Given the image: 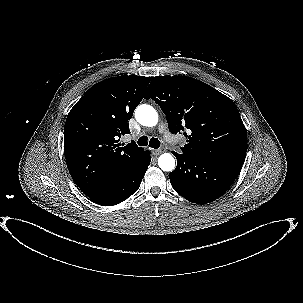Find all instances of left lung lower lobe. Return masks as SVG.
Returning <instances> with one entry per match:
<instances>
[{
	"label": "left lung lower lobe",
	"instance_id": "1",
	"mask_svg": "<svg viewBox=\"0 0 303 303\" xmlns=\"http://www.w3.org/2000/svg\"><path fill=\"white\" fill-rule=\"evenodd\" d=\"M176 169L169 174L174 190L192 203L206 204L222 196L238 176L241 162L202 159L172 152Z\"/></svg>",
	"mask_w": 303,
	"mask_h": 303
}]
</instances>
